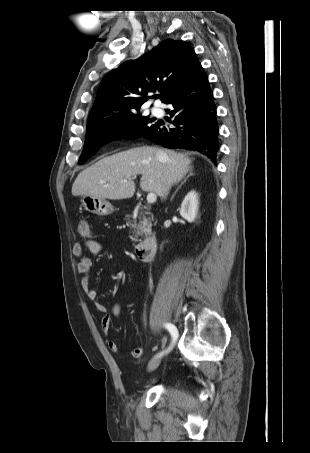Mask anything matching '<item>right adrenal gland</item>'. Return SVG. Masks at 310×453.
I'll use <instances>...</instances> for the list:
<instances>
[{"instance_id":"1","label":"right adrenal gland","mask_w":310,"mask_h":453,"mask_svg":"<svg viewBox=\"0 0 310 453\" xmlns=\"http://www.w3.org/2000/svg\"><path fill=\"white\" fill-rule=\"evenodd\" d=\"M194 173H193V169L190 168L189 169V174L184 178V180L181 182V184L178 186V188L176 189V191L174 192V194L171 196V201L174 199V196L176 195L177 191L181 188V186L187 181V179L190 177V176H193Z\"/></svg>"}]
</instances>
